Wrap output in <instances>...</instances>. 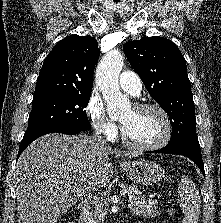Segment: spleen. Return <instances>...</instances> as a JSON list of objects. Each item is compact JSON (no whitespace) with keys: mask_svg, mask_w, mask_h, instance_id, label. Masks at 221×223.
I'll list each match as a JSON object with an SVG mask.
<instances>
[{"mask_svg":"<svg viewBox=\"0 0 221 223\" xmlns=\"http://www.w3.org/2000/svg\"><path fill=\"white\" fill-rule=\"evenodd\" d=\"M181 210L184 214L182 223H198L201 200L199 191L190 178L182 176L178 188Z\"/></svg>","mask_w":221,"mask_h":223,"instance_id":"obj_1","label":"spleen"}]
</instances>
